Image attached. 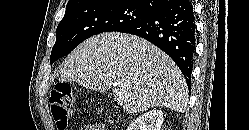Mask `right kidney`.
Returning a JSON list of instances; mask_svg holds the SVG:
<instances>
[{"mask_svg": "<svg viewBox=\"0 0 249 130\" xmlns=\"http://www.w3.org/2000/svg\"><path fill=\"white\" fill-rule=\"evenodd\" d=\"M163 112L155 109L148 111L136 118L128 127V130H161Z\"/></svg>", "mask_w": 249, "mask_h": 130, "instance_id": "ca27d5eb", "label": "right kidney"}]
</instances>
